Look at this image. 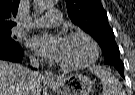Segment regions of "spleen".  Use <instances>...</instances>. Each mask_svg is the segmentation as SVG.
I'll return each instance as SVG.
<instances>
[{
	"label": "spleen",
	"mask_w": 135,
	"mask_h": 95,
	"mask_svg": "<svg viewBox=\"0 0 135 95\" xmlns=\"http://www.w3.org/2000/svg\"><path fill=\"white\" fill-rule=\"evenodd\" d=\"M89 70L101 80L102 95H125L122 84L110 71L101 66H93Z\"/></svg>",
	"instance_id": "1"
}]
</instances>
